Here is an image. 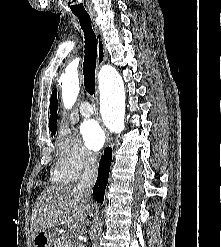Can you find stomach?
<instances>
[{
    "instance_id": "0dacf381",
    "label": "stomach",
    "mask_w": 221,
    "mask_h": 247,
    "mask_svg": "<svg viewBox=\"0 0 221 247\" xmlns=\"http://www.w3.org/2000/svg\"><path fill=\"white\" fill-rule=\"evenodd\" d=\"M54 235L50 231H40L33 237L34 247H51Z\"/></svg>"
}]
</instances>
